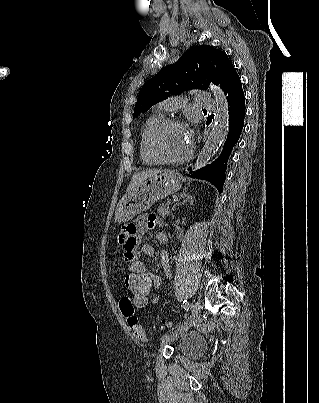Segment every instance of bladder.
<instances>
[{
  "label": "bladder",
  "mask_w": 319,
  "mask_h": 403,
  "mask_svg": "<svg viewBox=\"0 0 319 403\" xmlns=\"http://www.w3.org/2000/svg\"><path fill=\"white\" fill-rule=\"evenodd\" d=\"M203 348L202 338L198 335L183 336L177 344V352L183 356L196 357Z\"/></svg>",
  "instance_id": "bladder-1"
}]
</instances>
